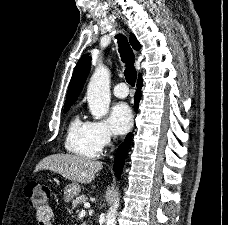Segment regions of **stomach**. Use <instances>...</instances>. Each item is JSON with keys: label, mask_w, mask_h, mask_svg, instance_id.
<instances>
[{"label": "stomach", "mask_w": 228, "mask_h": 225, "mask_svg": "<svg viewBox=\"0 0 228 225\" xmlns=\"http://www.w3.org/2000/svg\"><path fill=\"white\" fill-rule=\"evenodd\" d=\"M80 191H81V189H80V185H78V183H72V185H67V187H65V191H64L65 203H69V201H72V199H74V197H78Z\"/></svg>", "instance_id": "obj_1"}]
</instances>
